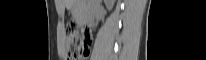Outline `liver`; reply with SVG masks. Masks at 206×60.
Here are the masks:
<instances>
[{
  "label": "liver",
  "mask_w": 206,
  "mask_h": 60,
  "mask_svg": "<svg viewBox=\"0 0 206 60\" xmlns=\"http://www.w3.org/2000/svg\"><path fill=\"white\" fill-rule=\"evenodd\" d=\"M62 2H63L66 6H71V4L74 2V0H62Z\"/></svg>",
  "instance_id": "obj_1"
}]
</instances>
